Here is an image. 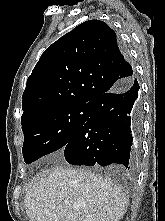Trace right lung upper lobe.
<instances>
[{"mask_svg": "<svg viewBox=\"0 0 165 221\" xmlns=\"http://www.w3.org/2000/svg\"><path fill=\"white\" fill-rule=\"evenodd\" d=\"M133 78L116 33L103 21H86L41 55L23 93L21 122L48 109L91 104Z\"/></svg>", "mask_w": 165, "mask_h": 221, "instance_id": "cb5924a9", "label": "right lung upper lobe"}]
</instances>
